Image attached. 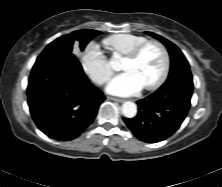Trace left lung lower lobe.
I'll use <instances>...</instances> for the list:
<instances>
[{
    "label": "left lung lower lobe",
    "instance_id": "obj_1",
    "mask_svg": "<svg viewBox=\"0 0 222 187\" xmlns=\"http://www.w3.org/2000/svg\"><path fill=\"white\" fill-rule=\"evenodd\" d=\"M192 75L181 74L165 82L156 92L137 101L135 117L123 118L127 127L141 141L157 143L170 137L184 121L193 93Z\"/></svg>",
    "mask_w": 222,
    "mask_h": 187
}]
</instances>
